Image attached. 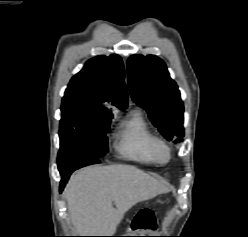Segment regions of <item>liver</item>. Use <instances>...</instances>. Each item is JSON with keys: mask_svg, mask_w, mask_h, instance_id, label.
I'll return each instance as SVG.
<instances>
[{"mask_svg": "<svg viewBox=\"0 0 248 237\" xmlns=\"http://www.w3.org/2000/svg\"><path fill=\"white\" fill-rule=\"evenodd\" d=\"M165 191L159 180L135 166L115 164L79 170L64 196L77 234L112 236L132 206Z\"/></svg>", "mask_w": 248, "mask_h": 237, "instance_id": "1", "label": "liver"}]
</instances>
